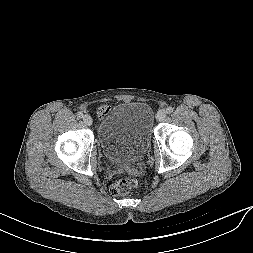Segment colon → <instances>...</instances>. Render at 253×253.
Segmentation results:
<instances>
[{"label":"colon","instance_id":"5ec220e1","mask_svg":"<svg viewBox=\"0 0 253 253\" xmlns=\"http://www.w3.org/2000/svg\"><path fill=\"white\" fill-rule=\"evenodd\" d=\"M107 112L106 108L101 110V115ZM137 187V182L133 179H121L113 184L111 187V192L115 196H124L131 192L134 188Z\"/></svg>","mask_w":253,"mask_h":253}]
</instances>
